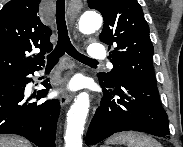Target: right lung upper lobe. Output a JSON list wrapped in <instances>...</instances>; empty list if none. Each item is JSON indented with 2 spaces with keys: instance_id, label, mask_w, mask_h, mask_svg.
<instances>
[{
  "instance_id": "right-lung-upper-lobe-1",
  "label": "right lung upper lobe",
  "mask_w": 183,
  "mask_h": 147,
  "mask_svg": "<svg viewBox=\"0 0 183 147\" xmlns=\"http://www.w3.org/2000/svg\"><path fill=\"white\" fill-rule=\"evenodd\" d=\"M41 0H11L0 11V79L44 65L51 29L38 14ZM39 48L38 55H29Z\"/></svg>"
}]
</instances>
